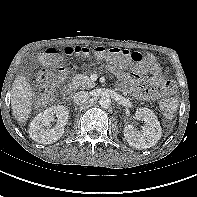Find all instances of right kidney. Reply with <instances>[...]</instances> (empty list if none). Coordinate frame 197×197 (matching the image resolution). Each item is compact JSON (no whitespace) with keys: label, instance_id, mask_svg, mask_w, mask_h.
<instances>
[{"label":"right kidney","instance_id":"1","mask_svg":"<svg viewBox=\"0 0 197 197\" xmlns=\"http://www.w3.org/2000/svg\"><path fill=\"white\" fill-rule=\"evenodd\" d=\"M69 111L65 106H51L39 113L30 123V137L42 144H51L60 139L67 124ZM57 117V124L53 128L48 126Z\"/></svg>","mask_w":197,"mask_h":197}]
</instances>
